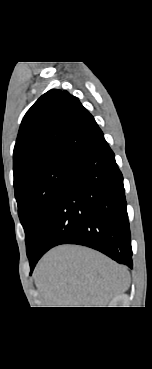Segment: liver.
Wrapping results in <instances>:
<instances>
[{"label": "liver", "mask_w": 152, "mask_h": 369, "mask_svg": "<svg viewBox=\"0 0 152 369\" xmlns=\"http://www.w3.org/2000/svg\"><path fill=\"white\" fill-rule=\"evenodd\" d=\"M34 278L49 307H103L130 286L125 266L76 245L50 250L38 263Z\"/></svg>", "instance_id": "liver-1"}]
</instances>
